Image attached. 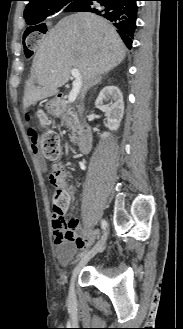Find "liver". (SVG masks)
<instances>
[{
    "instance_id": "obj_1",
    "label": "liver",
    "mask_w": 183,
    "mask_h": 329,
    "mask_svg": "<svg viewBox=\"0 0 183 329\" xmlns=\"http://www.w3.org/2000/svg\"><path fill=\"white\" fill-rule=\"evenodd\" d=\"M125 53L124 43L106 19L88 12L64 17L40 41L26 81L23 108L56 95L73 68L79 70L83 85L97 84L123 61Z\"/></svg>"
}]
</instances>
